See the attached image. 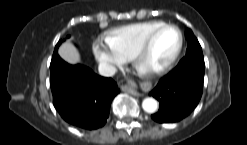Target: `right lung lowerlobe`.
Returning <instances> with one entry per match:
<instances>
[{"mask_svg": "<svg viewBox=\"0 0 247 145\" xmlns=\"http://www.w3.org/2000/svg\"><path fill=\"white\" fill-rule=\"evenodd\" d=\"M50 71L53 104L62 118L83 129L102 127L110 104L119 93L116 83L83 65L66 63L58 53L53 54Z\"/></svg>", "mask_w": 247, "mask_h": 145, "instance_id": "1", "label": "right lung lower lobe"}]
</instances>
